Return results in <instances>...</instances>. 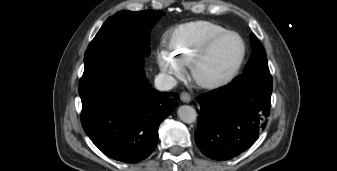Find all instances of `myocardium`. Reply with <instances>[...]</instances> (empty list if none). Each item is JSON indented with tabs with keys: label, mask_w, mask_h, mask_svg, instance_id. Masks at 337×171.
<instances>
[{
	"label": "myocardium",
	"mask_w": 337,
	"mask_h": 171,
	"mask_svg": "<svg viewBox=\"0 0 337 171\" xmlns=\"http://www.w3.org/2000/svg\"><path fill=\"white\" fill-rule=\"evenodd\" d=\"M229 36H235L239 39L241 44V54L238 59V61L235 63V65L229 70V72L224 75L223 77L219 79H204L199 75V66L205 59V57L208 55V53L212 50V48L221 40L229 37ZM246 44L244 39L236 32L234 31H225L223 33H220L209 40H207L197 51V53L194 55L189 67H190V74L193 79V81L200 87L205 89H219L222 88L229 83L233 81V79L238 74L239 70L241 69L245 58H246Z\"/></svg>",
	"instance_id": "1"
}]
</instances>
